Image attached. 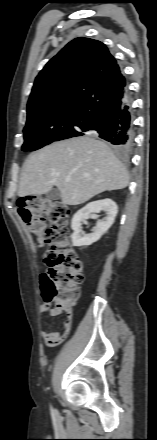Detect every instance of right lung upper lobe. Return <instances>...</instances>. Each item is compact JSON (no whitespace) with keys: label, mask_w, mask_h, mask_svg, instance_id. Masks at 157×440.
Returning <instances> with one entry per match:
<instances>
[{"label":"right lung upper lobe","mask_w":157,"mask_h":440,"mask_svg":"<svg viewBox=\"0 0 157 440\" xmlns=\"http://www.w3.org/2000/svg\"><path fill=\"white\" fill-rule=\"evenodd\" d=\"M126 80L100 41L76 38L53 57L36 77L27 104V121L84 125L120 104Z\"/></svg>","instance_id":"obj_1"}]
</instances>
